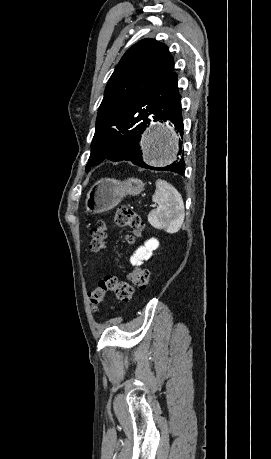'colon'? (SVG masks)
I'll return each mask as SVG.
<instances>
[{"label": "colon", "instance_id": "5ec220e1", "mask_svg": "<svg viewBox=\"0 0 271 459\" xmlns=\"http://www.w3.org/2000/svg\"><path fill=\"white\" fill-rule=\"evenodd\" d=\"M114 221L117 226L131 230V233L126 238L128 242H133L144 226L141 216L128 207L119 208L115 213ZM90 238L91 251L100 252L104 249L106 239V223L104 221H98L91 228ZM129 279L135 287L144 290L149 283V273L143 268H135L129 274ZM108 293H112L121 302H130L134 291L129 283L119 280L116 276H105L89 292V299L93 309H96Z\"/></svg>", "mask_w": 271, "mask_h": 459}]
</instances>
